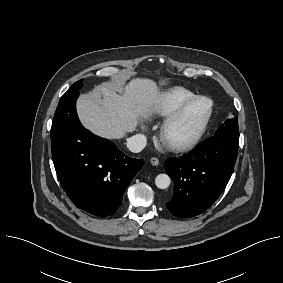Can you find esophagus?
I'll return each mask as SVG.
<instances>
[{"label": "esophagus", "instance_id": "1", "mask_svg": "<svg viewBox=\"0 0 283 283\" xmlns=\"http://www.w3.org/2000/svg\"><path fill=\"white\" fill-rule=\"evenodd\" d=\"M150 162L153 166L159 165V160L156 157L151 158Z\"/></svg>", "mask_w": 283, "mask_h": 283}]
</instances>
